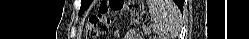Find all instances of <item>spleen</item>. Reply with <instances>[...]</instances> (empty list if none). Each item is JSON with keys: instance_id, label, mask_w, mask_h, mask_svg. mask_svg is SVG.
Instances as JSON below:
<instances>
[{"instance_id": "3e777b00", "label": "spleen", "mask_w": 249, "mask_h": 39, "mask_svg": "<svg viewBox=\"0 0 249 39\" xmlns=\"http://www.w3.org/2000/svg\"><path fill=\"white\" fill-rule=\"evenodd\" d=\"M148 7L154 33L161 39L168 36L172 22L179 20V10L176 7L170 8V1L167 0H149Z\"/></svg>"}]
</instances>
